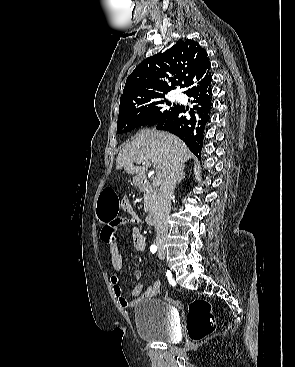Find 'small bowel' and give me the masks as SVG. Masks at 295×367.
<instances>
[{
	"instance_id": "1",
	"label": "small bowel",
	"mask_w": 295,
	"mask_h": 367,
	"mask_svg": "<svg viewBox=\"0 0 295 367\" xmlns=\"http://www.w3.org/2000/svg\"><path fill=\"white\" fill-rule=\"evenodd\" d=\"M122 208L130 215V218H117L115 221L102 223L103 226L100 232V239L109 249L111 265L115 272L121 271L123 267V258L119 252L116 240L117 230L122 224L128 222L132 225L131 237L133 247L136 251L142 252L146 247V237L137 227V225L140 223V219L133 210L128 198H124L122 200ZM133 275L137 280V284L131 292V296L134 298L133 300H128L124 296L122 288L119 284V277L116 274L110 276V283L112 285L113 292L117 297L120 306L124 309L135 307L143 299L158 297L162 292L161 283L159 280H156L154 284L148 287L143 293L145 282L142 278V273L139 270H133Z\"/></svg>"
}]
</instances>
